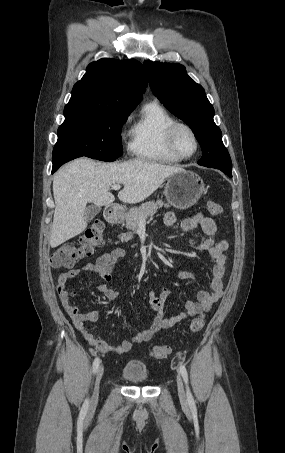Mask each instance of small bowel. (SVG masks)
<instances>
[{"label": "small bowel", "mask_w": 285, "mask_h": 453, "mask_svg": "<svg viewBox=\"0 0 285 453\" xmlns=\"http://www.w3.org/2000/svg\"><path fill=\"white\" fill-rule=\"evenodd\" d=\"M177 217L173 212H168L164 216V224L168 227L175 225ZM182 232H188L200 227L205 234V239L201 241L190 240L189 244L195 249L205 251L213 259L214 265L211 271L210 290H200L196 301H187L185 311L171 317L165 314V301L169 296L167 288H163L159 295L153 291L149 293V302L154 312V320L147 328L139 331L132 336L131 340H123L119 344H109L100 336L94 335L87 327V322L95 323L99 320L100 313L92 311L86 314L79 312L77 306L72 301L73 292L66 290L67 282L78 276L81 271H88L100 278V282L95 285L97 291L103 293L106 298L113 302L120 296V291L111 288L108 283L113 280L112 271L115 264L124 256L122 248H115L110 252L100 254L94 264H88L83 269H70L61 273L58 277L56 290L60 301L71 318L75 328L81 336L102 353L123 354L129 352L135 343L146 342L152 339L154 334L161 329L170 328L189 317L196 316L210 310L223 295L224 278L227 270V255L229 244L226 240H216V222L202 213H196L181 222ZM180 279L192 280L191 273L185 270L178 272Z\"/></svg>", "instance_id": "obj_1"}]
</instances>
